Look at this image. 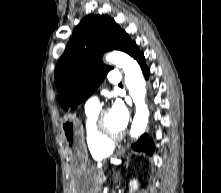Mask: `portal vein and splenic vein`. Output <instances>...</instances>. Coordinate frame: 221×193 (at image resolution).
<instances>
[{
	"label": "portal vein and splenic vein",
	"instance_id": "portal-vein-and-splenic-vein-1",
	"mask_svg": "<svg viewBox=\"0 0 221 193\" xmlns=\"http://www.w3.org/2000/svg\"><path fill=\"white\" fill-rule=\"evenodd\" d=\"M106 180H107V177L104 175V176L101 178V183L106 182Z\"/></svg>",
	"mask_w": 221,
	"mask_h": 193
}]
</instances>
